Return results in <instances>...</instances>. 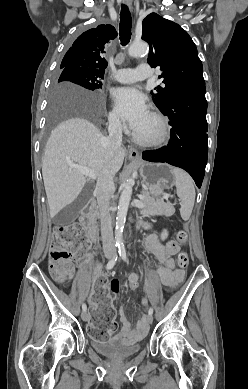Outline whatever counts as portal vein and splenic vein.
<instances>
[{
	"label": "portal vein and splenic vein",
	"mask_w": 248,
	"mask_h": 389,
	"mask_svg": "<svg viewBox=\"0 0 248 389\" xmlns=\"http://www.w3.org/2000/svg\"><path fill=\"white\" fill-rule=\"evenodd\" d=\"M69 166L71 168H74V169L80 171L83 175H85L87 177H90L91 179H96V175L94 174V172L89 167L77 165V164H74V163H69ZM169 196H170L169 194H165L163 196V198H168ZM138 197H139V199H143V195H141V194Z\"/></svg>",
	"instance_id": "1"
}]
</instances>
